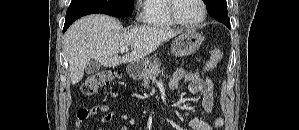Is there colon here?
<instances>
[{
  "instance_id": "obj_1",
  "label": "colon",
  "mask_w": 299,
  "mask_h": 130,
  "mask_svg": "<svg viewBox=\"0 0 299 130\" xmlns=\"http://www.w3.org/2000/svg\"><path fill=\"white\" fill-rule=\"evenodd\" d=\"M223 53L218 47H213L208 60L206 61L203 69L194 72L185 73L181 83L191 84L202 77V73L211 71L222 60ZM119 74L113 70H102L95 74H92L86 78L81 86L82 92L87 96L96 95L99 89L105 85L113 83L118 79ZM89 115L88 110H81L78 114L79 119H84Z\"/></svg>"
}]
</instances>
